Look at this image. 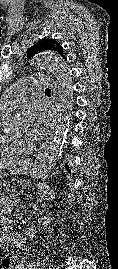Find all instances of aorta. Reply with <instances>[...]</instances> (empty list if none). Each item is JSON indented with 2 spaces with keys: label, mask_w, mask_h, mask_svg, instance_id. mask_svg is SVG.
<instances>
[{
  "label": "aorta",
  "mask_w": 118,
  "mask_h": 269,
  "mask_svg": "<svg viewBox=\"0 0 118 269\" xmlns=\"http://www.w3.org/2000/svg\"><path fill=\"white\" fill-rule=\"evenodd\" d=\"M30 65L36 70L48 68L58 81L59 117L55 134L35 161L32 170L33 175L40 177L47 174L62 155L73 108V79L67 63L52 52L36 54L31 59ZM16 125L17 120L15 118L8 119L2 124L4 128H14Z\"/></svg>",
  "instance_id": "obj_1"
}]
</instances>
